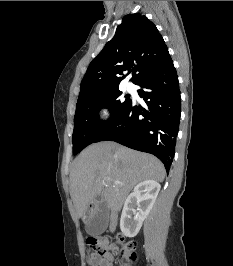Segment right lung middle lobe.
Listing matches in <instances>:
<instances>
[{
	"label": "right lung middle lobe",
	"instance_id": "dd1d6c3e",
	"mask_svg": "<svg viewBox=\"0 0 233 266\" xmlns=\"http://www.w3.org/2000/svg\"><path fill=\"white\" fill-rule=\"evenodd\" d=\"M119 89H112L93 94L77 101L74 117L73 154L95 142L99 136L111 126L116 119L128 108L132 100L120 98ZM111 111L110 118L102 122L98 118L101 108Z\"/></svg>",
	"mask_w": 233,
	"mask_h": 266
}]
</instances>
